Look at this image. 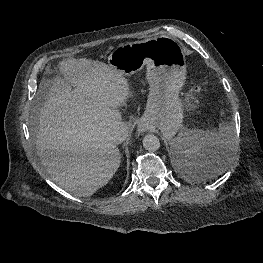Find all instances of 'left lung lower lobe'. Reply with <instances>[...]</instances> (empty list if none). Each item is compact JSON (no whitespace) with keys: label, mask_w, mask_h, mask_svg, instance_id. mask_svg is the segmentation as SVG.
Segmentation results:
<instances>
[{"label":"left lung lower lobe","mask_w":263,"mask_h":263,"mask_svg":"<svg viewBox=\"0 0 263 263\" xmlns=\"http://www.w3.org/2000/svg\"><path fill=\"white\" fill-rule=\"evenodd\" d=\"M224 154L217 147H208L193 156L176 155V165L182 175L191 179H211L224 164Z\"/></svg>","instance_id":"1"}]
</instances>
